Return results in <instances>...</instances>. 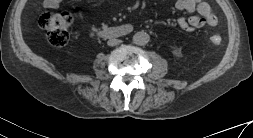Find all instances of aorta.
<instances>
[{
    "label": "aorta",
    "instance_id": "obj_1",
    "mask_svg": "<svg viewBox=\"0 0 253 138\" xmlns=\"http://www.w3.org/2000/svg\"><path fill=\"white\" fill-rule=\"evenodd\" d=\"M149 35L146 32H137L134 36H133V41L135 44L143 46L146 45L149 42Z\"/></svg>",
    "mask_w": 253,
    "mask_h": 138
}]
</instances>
